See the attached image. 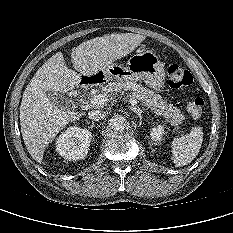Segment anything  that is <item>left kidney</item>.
I'll list each match as a JSON object with an SVG mask.
<instances>
[{"label":"left kidney","mask_w":233,"mask_h":233,"mask_svg":"<svg viewBox=\"0 0 233 233\" xmlns=\"http://www.w3.org/2000/svg\"><path fill=\"white\" fill-rule=\"evenodd\" d=\"M163 134L164 127L162 125H157L151 129L150 136L153 141L160 142L162 140Z\"/></svg>","instance_id":"obj_1"}]
</instances>
